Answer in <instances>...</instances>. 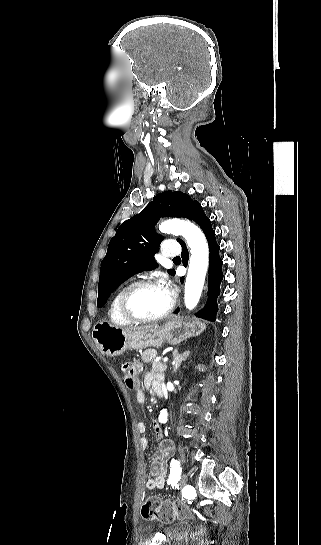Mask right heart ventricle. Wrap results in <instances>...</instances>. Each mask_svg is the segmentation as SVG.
<instances>
[{"mask_svg":"<svg viewBox=\"0 0 321 545\" xmlns=\"http://www.w3.org/2000/svg\"><path fill=\"white\" fill-rule=\"evenodd\" d=\"M129 285L130 283H127L116 291V293L112 296L107 308L108 320L110 324L116 328H124L129 326V324L121 318L118 311V300H119L120 294Z\"/></svg>","mask_w":321,"mask_h":545,"instance_id":"right-heart-ventricle-1","label":"right heart ventricle"}]
</instances>
